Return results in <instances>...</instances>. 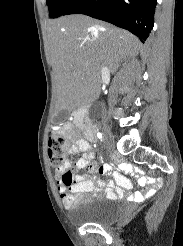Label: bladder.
Returning a JSON list of instances; mask_svg holds the SVG:
<instances>
[{
	"mask_svg": "<svg viewBox=\"0 0 183 246\" xmlns=\"http://www.w3.org/2000/svg\"><path fill=\"white\" fill-rule=\"evenodd\" d=\"M122 212L121 205L110 199L97 198L91 201L87 210L75 217L78 223L104 225L115 220Z\"/></svg>",
	"mask_w": 183,
	"mask_h": 246,
	"instance_id": "1",
	"label": "bladder"
}]
</instances>
